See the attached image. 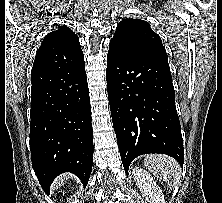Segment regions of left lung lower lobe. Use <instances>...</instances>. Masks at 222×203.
<instances>
[{"label":"left lung lower lobe","mask_w":222,"mask_h":203,"mask_svg":"<svg viewBox=\"0 0 222 203\" xmlns=\"http://www.w3.org/2000/svg\"><path fill=\"white\" fill-rule=\"evenodd\" d=\"M106 80L126 174L142 154L162 153L182 166L184 148L168 59L110 44Z\"/></svg>","instance_id":"left-lung-lower-lobe-1"}]
</instances>
